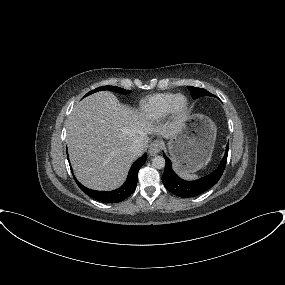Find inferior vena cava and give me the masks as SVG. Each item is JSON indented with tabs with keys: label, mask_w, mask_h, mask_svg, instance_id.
Returning a JSON list of instances; mask_svg holds the SVG:
<instances>
[{
	"label": "inferior vena cava",
	"mask_w": 285,
	"mask_h": 285,
	"mask_svg": "<svg viewBox=\"0 0 285 285\" xmlns=\"http://www.w3.org/2000/svg\"><path fill=\"white\" fill-rule=\"evenodd\" d=\"M145 148L144 140L142 138H137L133 141L132 145L130 146L131 151L135 155H140Z\"/></svg>",
	"instance_id": "obj_1"
}]
</instances>
